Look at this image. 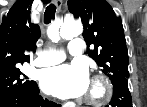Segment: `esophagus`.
<instances>
[{
  "label": "esophagus",
  "mask_w": 147,
  "mask_h": 107,
  "mask_svg": "<svg viewBox=\"0 0 147 107\" xmlns=\"http://www.w3.org/2000/svg\"><path fill=\"white\" fill-rule=\"evenodd\" d=\"M54 2L57 7V10L60 11L62 7V0H55Z\"/></svg>",
  "instance_id": "34e87169"
}]
</instances>
